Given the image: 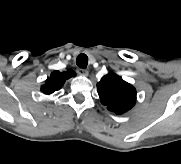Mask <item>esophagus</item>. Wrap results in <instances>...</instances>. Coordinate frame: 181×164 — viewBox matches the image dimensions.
<instances>
[{
	"mask_svg": "<svg viewBox=\"0 0 181 164\" xmlns=\"http://www.w3.org/2000/svg\"><path fill=\"white\" fill-rule=\"evenodd\" d=\"M78 73L82 76H88L89 72L86 69H78Z\"/></svg>",
	"mask_w": 181,
	"mask_h": 164,
	"instance_id": "1",
	"label": "esophagus"
}]
</instances>
